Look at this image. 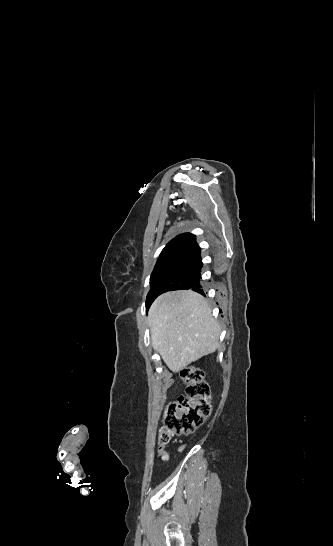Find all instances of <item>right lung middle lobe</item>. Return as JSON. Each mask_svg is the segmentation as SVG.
I'll return each instance as SVG.
<instances>
[{"mask_svg": "<svg viewBox=\"0 0 333 546\" xmlns=\"http://www.w3.org/2000/svg\"><path fill=\"white\" fill-rule=\"evenodd\" d=\"M185 251H165L160 254V257L157 260V263L154 267V270L150 277L151 290L147 295V300L151 301L154 298V295L157 290V284L161 276L172 267L180 258L185 254Z\"/></svg>", "mask_w": 333, "mask_h": 546, "instance_id": "right-lung-middle-lobe-1", "label": "right lung middle lobe"}]
</instances>
